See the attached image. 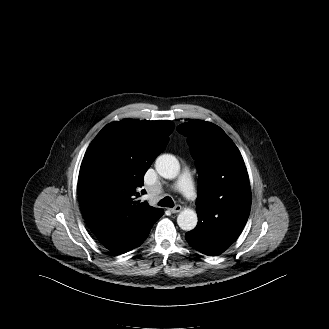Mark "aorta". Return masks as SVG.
<instances>
[{
    "label": "aorta",
    "mask_w": 329,
    "mask_h": 329,
    "mask_svg": "<svg viewBox=\"0 0 329 329\" xmlns=\"http://www.w3.org/2000/svg\"><path fill=\"white\" fill-rule=\"evenodd\" d=\"M156 171L165 179H174L180 171L179 161L171 154L160 155L155 162ZM198 222L197 214L192 209H184L177 217L178 226L185 231L193 230Z\"/></svg>",
    "instance_id": "1"
}]
</instances>
